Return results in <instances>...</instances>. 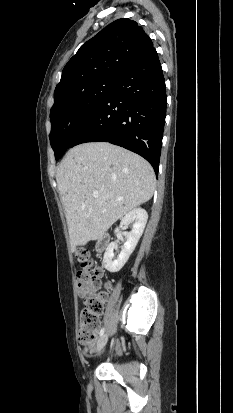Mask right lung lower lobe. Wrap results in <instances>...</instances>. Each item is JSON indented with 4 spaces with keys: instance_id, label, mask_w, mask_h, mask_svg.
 Masks as SVG:
<instances>
[{
    "instance_id": "obj_1",
    "label": "right lung lower lobe",
    "mask_w": 233,
    "mask_h": 413,
    "mask_svg": "<svg viewBox=\"0 0 233 413\" xmlns=\"http://www.w3.org/2000/svg\"><path fill=\"white\" fill-rule=\"evenodd\" d=\"M166 87L154 47L123 69L71 147L110 142L144 157L156 175L166 115Z\"/></svg>"
}]
</instances>
